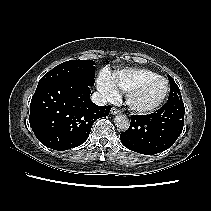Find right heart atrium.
<instances>
[{
	"label": "right heart atrium",
	"mask_w": 211,
	"mask_h": 211,
	"mask_svg": "<svg viewBox=\"0 0 211 211\" xmlns=\"http://www.w3.org/2000/svg\"><path fill=\"white\" fill-rule=\"evenodd\" d=\"M98 89L100 93L109 101H116L119 98V91L111 76L107 72L100 74L98 79Z\"/></svg>",
	"instance_id": "obj_1"
}]
</instances>
